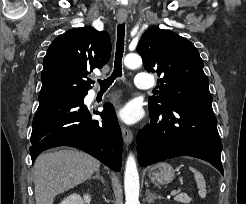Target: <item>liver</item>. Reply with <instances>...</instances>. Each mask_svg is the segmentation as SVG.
Here are the masks:
<instances>
[{"mask_svg": "<svg viewBox=\"0 0 246 204\" xmlns=\"http://www.w3.org/2000/svg\"><path fill=\"white\" fill-rule=\"evenodd\" d=\"M100 162L76 149L41 154L34 163L36 204H53L55 196L90 178Z\"/></svg>", "mask_w": 246, "mask_h": 204, "instance_id": "6515ba94", "label": "liver"}]
</instances>
